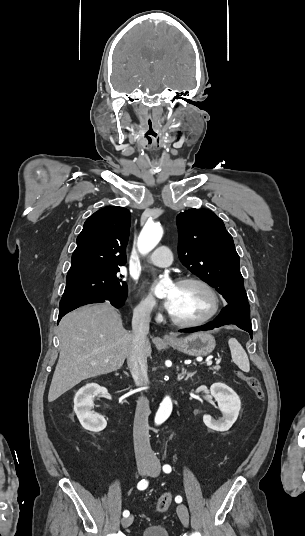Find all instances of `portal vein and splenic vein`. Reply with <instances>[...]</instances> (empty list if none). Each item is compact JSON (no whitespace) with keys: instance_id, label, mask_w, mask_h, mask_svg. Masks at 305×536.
I'll use <instances>...</instances> for the list:
<instances>
[{"instance_id":"1","label":"portal vein and splenic vein","mask_w":305,"mask_h":536,"mask_svg":"<svg viewBox=\"0 0 305 536\" xmlns=\"http://www.w3.org/2000/svg\"><path fill=\"white\" fill-rule=\"evenodd\" d=\"M212 362L210 360V362H207V366H211Z\"/></svg>"}]
</instances>
